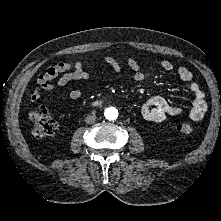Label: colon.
Returning a JSON list of instances; mask_svg holds the SVG:
<instances>
[{"instance_id": "1", "label": "colon", "mask_w": 221, "mask_h": 221, "mask_svg": "<svg viewBox=\"0 0 221 221\" xmlns=\"http://www.w3.org/2000/svg\"><path fill=\"white\" fill-rule=\"evenodd\" d=\"M57 75L55 68H49L40 76L41 83L39 87L49 90L51 89L50 81ZM32 122V131L34 136L41 138L53 135L57 130L56 121L48 114L44 108L34 110L30 114ZM176 130L183 135H190L194 130V125L188 119H182L176 123Z\"/></svg>"}]
</instances>
